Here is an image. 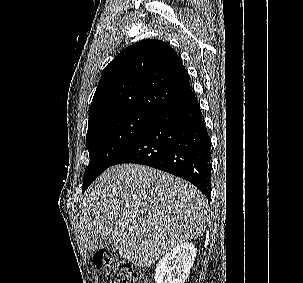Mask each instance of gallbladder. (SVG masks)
I'll list each match as a JSON object with an SVG mask.
<instances>
[{
    "instance_id": "gallbladder-1",
    "label": "gallbladder",
    "mask_w": 303,
    "mask_h": 283,
    "mask_svg": "<svg viewBox=\"0 0 303 283\" xmlns=\"http://www.w3.org/2000/svg\"><path fill=\"white\" fill-rule=\"evenodd\" d=\"M114 250V240L110 236L101 237L96 245V248Z\"/></svg>"
}]
</instances>
